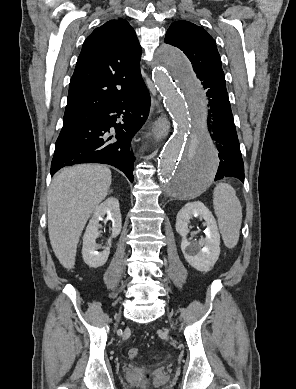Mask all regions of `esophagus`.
<instances>
[{"mask_svg":"<svg viewBox=\"0 0 296 389\" xmlns=\"http://www.w3.org/2000/svg\"><path fill=\"white\" fill-rule=\"evenodd\" d=\"M152 105H153V106H157V102H156L155 100H153V101H152ZM140 139H141V140H144V139H145V136H144V135H141V136H140Z\"/></svg>","mask_w":296,"mask_h":389,"instance_id":"esophagus-1","label":"esophagus"}]
</instances>
